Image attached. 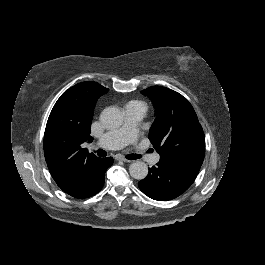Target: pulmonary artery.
<instances>
[{"label": "pulmonary artery", "instance_id": "e3ab8cb5", "mask_svg": "<svg viewBox=\"0 0 265 265\" xmlns=\"http://www.w3.org/2000/svg\"><path fill=\"white\" fill-rule=\"evenodd\" d=\"M125 124L121 130L113 132L112 135H104L99 138L98 143L104 148H121L128 142H132L138 139L139 132L137 130V124L145 114V110L136 107H125ZM160 158L159 154L154 157V163L158 162Z\"/></svg>", "mask_w": 265, "mask_h": 265}]
</instances>
